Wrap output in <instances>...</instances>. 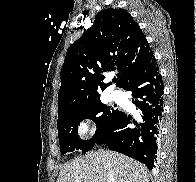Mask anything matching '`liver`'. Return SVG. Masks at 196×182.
<instances>
[{
  "label": "liver",
  "mask_w": 196,
  "mask_h": 182,
  "mask_svg": "<svg viewBox=\"0 0 196 182\" xmlns=\"http://www.w3.org/2000/svg\"><path fill=\"white\" fill-rule=\"evenodd\" d=\"M112 170L115 182H149L145 165L112 151H92L77 157L60 171L56 182H108Z\"/></svg>",
  "instance_id": "obj_1"
}]
</instances>
